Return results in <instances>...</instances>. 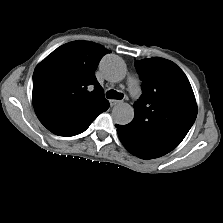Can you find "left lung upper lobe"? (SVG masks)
Here are the masks:
<instances>
[{
	"label": "left lung upper lobe",
	"mask_w": 223,
	"mask_h": 223,
	"mask_svg": "<svg viewBox=\"0 0 223 223\" xmlns=\"http://www.w3.org/2000/svg\"><path fill=\"white\" fill-rule=\"evenodd\" d=\"M142 95L127 129L132 139L149 147L172 151L184 139L197 116L193 90L184 72L172 61L154 57L135 62Z\"/></svg>",
	"instance_id": "1"
}]
</instances>
